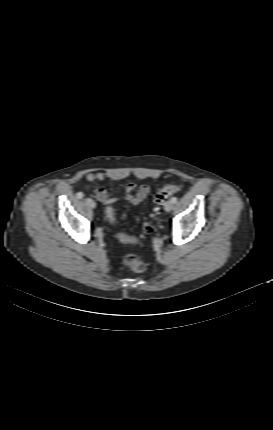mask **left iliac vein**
Listing matches in <instances>:
<instances>
[{
	"mask_svg": "<svg viewBox=\"0 0 273 430\" xmlns=\"http://www.w3.org/2000/svg\"><path fill=\"white\" fill-rule=\"evenodd\" d=\"M173 207H174V203L171 200L167 201L164 205V209L167 212H170L173 209Z\"/></svg>",
	"mask_w": 273,
	"mask_h": 430,
	"instance_id": "1",
	"label": "left iliac vein"
}]
</instances>
